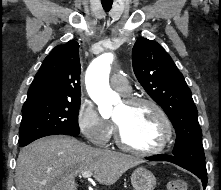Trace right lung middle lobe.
I'll use <instances>...</instances> for the list:
<instances>
[{"mask_svg": "<svg viewBox=\"0 0 221 190\" xmlns=\"http://www.w3.org/2000/svg\"><path fill=\"white\" fill-rule=\"evenodd\" d=\"M81 99L45 101L23 105L19 129V145L49 135L78 136V114Z\"/></svg>", "mask_w": 221, "mask_h": 190, "instance_id": "obj_1", "label": "right lung middle lobe"}]
</instances>
